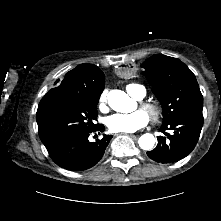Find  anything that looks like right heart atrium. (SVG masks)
I'll return each mask as SVG.
<instances>
[{"instance_id":"obj_1","label":"right heart atrium","mask_w":221,"mask_h":221,"mask_svg":"<svg viewBox=\"0 0 221 221\" xmlns=\"http://www.w3.org/2000/svg\"><path fill=\"white\" fill-rule=\"evenodd\" d=\"M107 90H104L101 92L99 95L98 99V106L101 110H104L106 108V103H107Z\"/></svg>"}]
</instances>
